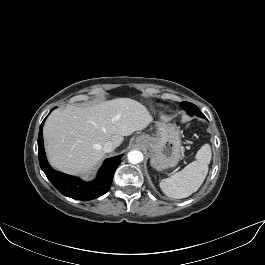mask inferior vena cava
<instances>
[{
	"label": "inferior vena cava",
	"mask_w": 265,
	"mask_h": 265,
	"mask_svg": "<svg viewBox=\"0 0 265 265\" xmlns=\"http://www.w3.org/2000/svg\"><path fill=\"white\" fill-rule=\"evenodd\" d=\"M115 148H116V145H115L113 142L108 141V142H106V143L104 144V146H103V151H104L105 153H108V152H112Z\"/></svg>",
	"instance_id": "1"
}]
</instances>
